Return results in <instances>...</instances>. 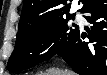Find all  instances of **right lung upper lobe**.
Returning <instances> with one entry per match:
<instances>
[{"mask_svg":"<svg viewBox=\"0 0 107 75\" xmlns=\"http://www.w3.org/2000/svg\"><path fill=\"white\" fill-rule=\"evenodd\" d=\"M67 0H25L19 26L38 27L48 22L69 16L71 3ZM71 1V0H70ZM86 0H79L85 3ZM81 11V9L79 10Z\"/></svg>","mask_w":107,"mask_h":75,"instance_id":"right-lung-upper-lobe-1","label":"right lung upper lobe"}]
</instances>
